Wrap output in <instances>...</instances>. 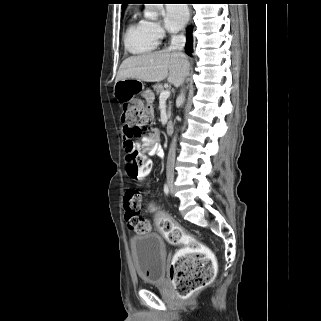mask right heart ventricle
<instances>
[{
  "label": "right heart ventricle",
  "instance_id": "obj_1",
  "mask_svg": "<svg viewBox=\"0 0 321 321\" xmlns=\"http://www.w3.org/2000/svg\"><path fill=\"white\" fill-rule=\"evenodd\" d=\"M124 45L131 54H147L157 48L158 39L149 30L147 21L135 14L126 27Z\"/></svg>",
  "mask_w": 321,
  "mask_h": 321
}]
</instances>
